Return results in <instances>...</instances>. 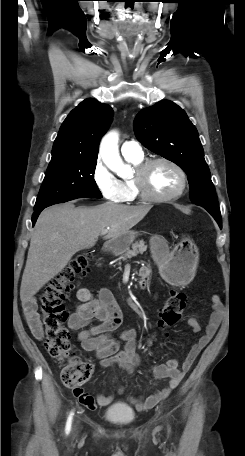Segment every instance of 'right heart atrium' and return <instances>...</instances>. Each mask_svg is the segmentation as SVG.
Listing matches in <instances>:
<instances>
[{"label":"right heart atrium","mask_w":245,"mask_h":456,"mask_svg":"<svg viewBox=\"0 0 245 456\" xmlns=\"http://www.w3.org/2000/svg\"><path fill=\"white\" fill-rule=\"evenodd\" d=\"M91 176L104 199L116 203L123 201L124 190L121 181L112 174L101 159L95 162Z\"/></svg>","instance_id":"1"}]
</instances>
